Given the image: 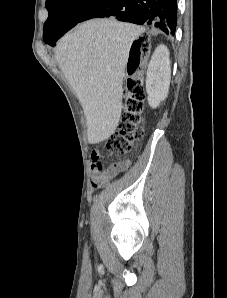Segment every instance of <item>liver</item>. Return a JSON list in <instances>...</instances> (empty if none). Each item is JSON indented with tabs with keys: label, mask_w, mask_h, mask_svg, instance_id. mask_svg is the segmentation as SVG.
<instances>
[{
	"label": "liver",
	"mask_w": 227,
	"mask_h": 298,
	"mask_svg": "<svg viewBox=\"0 0 227 298\" xmlns=\"http://www.w3.org/2000/svg\"><path fill=\"white\" fill-rule=\"evenodd\" d=\"M143 32L113 18L91 19L57 44L56 60L83 107L91 144L108 139L118 126L129 51Z\"/></svg>",
	"instance_id": "1"
}]
</instances>
